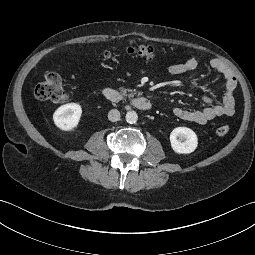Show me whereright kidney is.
Instances as JSON below:
<instances>
[{
  "mask_svg": "<svg viewBox=\"0 0 255 255\" xmlns=\"http://www.w3.org/2000/svg\"><path fill=\"white\" fill-rule=\"evenodd\" d=\"M82 108L77 103H68L59 107L53 114L54 124L63 131H72L78 126Z\"/></svg>",
  "mask_w": 255,
  "mask_h": 255,
  "instance_id": "obj_1",
  "label": "right kidney"
}]
</instances>
